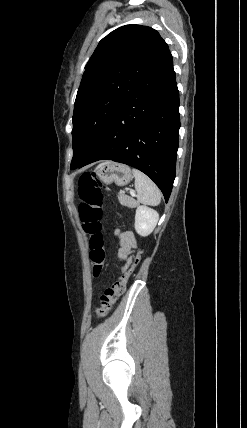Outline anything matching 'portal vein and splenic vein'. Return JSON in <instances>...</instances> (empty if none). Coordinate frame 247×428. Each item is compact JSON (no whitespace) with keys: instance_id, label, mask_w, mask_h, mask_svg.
<instances>
[{"instance_id":"obj_1","label":"portal vein and splenic vein","mask_w":247,"mask_h":428,"mask_svg":"<svg viewBox=\"0 0 247 428\" xmlns=\"http://www.w3.org/2000/svg\"><path fill=\"white\" fill-rule=\"evenodd\" d=\"M130 195H131V196H135V191H133V190H132V191H130Z\"/></svg>"}]
</instances>
